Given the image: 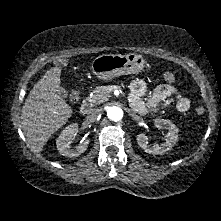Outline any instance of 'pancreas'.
I'll return each instance as SVG.
<instances>
[{
	"label": "pancreas",
	"mask_w": 221,
	"mask_h": 221,
	"mask_svg": "<svg viewBox=\"0 0 221 221\" xmlns=\"http://www.w3.org/2000/svg\"><path fill=\"white\" fill-rule=\"evenodd\" d=\"M110 86H98L93 91V94L87 98L91 106L103 103L111 97Z\"/></svg>",
	"instance_id": "cf45deb5"
}]
</instances>
